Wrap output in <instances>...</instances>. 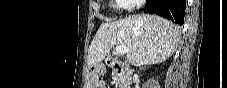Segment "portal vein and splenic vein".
I'll use <instances>...</instances> for the list:
<instances>
[{
    "instance_id": "portal-vein-and-splenic-vein-1",
    "label": "portal vein and splenic vein",
    "mask_w": 227,
    "mask_h": 88,
    "mask_svg": "<svg viewBox=\"0 0 227 88\" xmlns=\"http://www.w3.org/2000/svg\"><path fill=\"white\" fill-rule=\"evenodd\" d=\"M116 53L118 54H126L128 52V49L122 45H116L115 46Z\"/></svg>"
}]
</instances>
